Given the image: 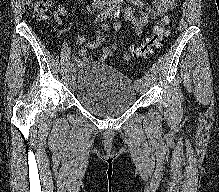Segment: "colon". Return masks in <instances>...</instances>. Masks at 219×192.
I'll list each match as a JSON object with an SVG mask.
<instances>
[{
  "instance_id": "obj_1",
  "label": "colon",
  "mask_w": 219,
  "mask_h": 192,
  "mask_svg": "<svg viewBox=\"0 0 219 192\" xmlns=\"http://www.w3.org/2000/svg\"><path fill=\"white\" fill-rule=\"evenodd\" d=\"M32 12L35 18H46L50 2L49 0H32L31 3ZM173 27V18L171 16H165L157 23L150 37L146 38L141 43H134L130 46L126 55L127 59H137L139 57L146 56L150 51L161 46L164 40L168 37L170 30ZM114 47H106L102 51L104 58H109L114 55Z\"/></svg>"
}]
</instances>
